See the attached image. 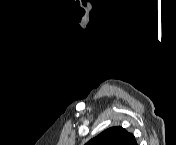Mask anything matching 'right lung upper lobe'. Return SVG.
<instances>
[{
    "mask_svg": "<svg viewBox=\"0 0 176 145\" xmlns=\"http://www.w3.org/2000/svg\"><path fill=\"white\" fill-rule=\"evenodd\" d=\"M86 145H137V143L135 137L122 127H112L91 139Z\"/></svg>",
    "mask_w": 176,
    "mask_h": 145,
    "instance_id": "cb5924a9",
    "label": "right lung upper lobe"
}]
</instances>
